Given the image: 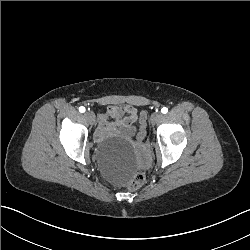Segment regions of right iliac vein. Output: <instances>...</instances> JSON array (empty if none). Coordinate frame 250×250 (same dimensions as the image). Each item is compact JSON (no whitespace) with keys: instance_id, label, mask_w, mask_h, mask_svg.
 Segmentation results:
<instances>
[{"instance_id":"63e3f726","label":"right iliac vein","mask_w":250,"mask_h":250,"mask_svg":"<svg viewBox=\"0 0 250 250\" xmlns=\"http://www.w3.org/2000/svg\"><path fill=\"white\" fill-rule=\"evenodd\" d=\"M84 117L89 121L90 124L93 125L95 123V115L91 111H86L84 113Z\"/></svg>"}]
</instances>
